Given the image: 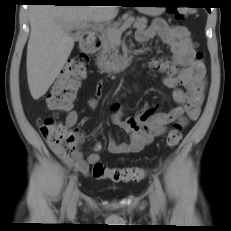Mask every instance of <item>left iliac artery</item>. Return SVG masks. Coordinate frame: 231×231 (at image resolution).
<instances>
[{
    "label": "left iliac artery",
    "instance_id": "1",
    "mask_svg": "<svg viewBox=\"0 0 231 231\" xmlns=\"http://www.w3.org/2000/svg\"><path fill=\"white\" fill-rule=\"evenodd\" d=\"M153 178H154V184H155V187H156L158 198H159L161 204H164L165 203V195H164L160 180L156 175H154Z\"/></svg>",
    "mask_w": 231,
    "mask_h": 231
}]
</instances>
